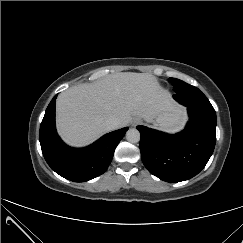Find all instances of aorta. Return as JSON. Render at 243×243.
<instances>
[{
  "label": "aorta",
  "mask_w": 243,
  "mask_h": 243,
  "mask_svg": "<svg viewBox=\"0 0 243 243\" xmlns=\"http://www.w3.org/2000/svg\"><path fill=\"white\" fill-rule=\"evenodd\" d=\"M126 139L130 143H137L140 140V132L135 128H131L126 132Z\"/></svg>",
  "instance_id": "1"
}]
</instances>
